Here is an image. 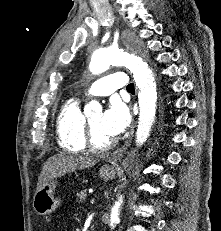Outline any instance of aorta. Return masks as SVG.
I'll return each instance as SVG.
<instances>
[{
  "instance_id": "762f6f07",
  "label": "aorta",
  "mask_w": 221,
  "mask_h": 231,
  "mask_svg": "<svg viewBox=\"0 0 221 231\" xmlns=\"http://www.w3.org/2000/svg\"><path fill=\"white\" fill-rule=\"evenodd\" d=\"M110 65L126 66L133 74L138 89L139 121L136 132V143L142 145L150 135L156 114L157 91L156 84L148 64L134 53L121 48H103L93 52L90 71L100 74L109 69ZM89 108L99 107L92 101ZM122 197L113 205L110 214V229L114 230L119 222Z\"/></svg>"
}]
</instances>
